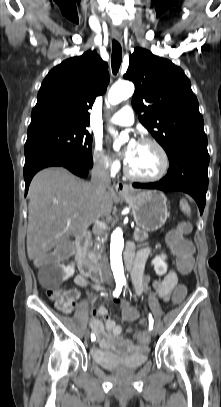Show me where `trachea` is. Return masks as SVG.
I'll use <instances>...</instances> for the list:
<instances>
[{"instance_id": "trachea-1", "label": "trachea", "mask_w": 221, "mask_h": 407, "mask_svg": "<svg viewBox=\"0 0 221 407\" xmlns=\"http://www.w3.org/2000/svg\"><path fill=\"white\" fill-rule=\"evenodd\" d=\"M122 61V49L120 44L113 40L112 42V57H111V66L113 74H117Z\"/></svg>"}]
</instances>
